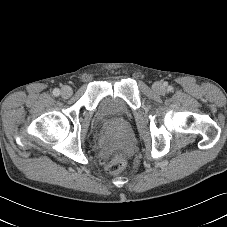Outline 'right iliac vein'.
<instances>
[{
	"instance_id": "1",
	"label": "right iliac vein",
	"mask_w": 227,
	"mask_h": 227,
	"mask_svg": "<svg viewBox=\"0 0 227 227\" xmlns=\"http://www.w3.org/2000/svg\"><path fill=\"white\" fill-rule=\"evenodd\" d=\"M72 94V89L69 86H64L61 91V95L64 98L70 97Z\"/></svg>"
}]
</instances>
